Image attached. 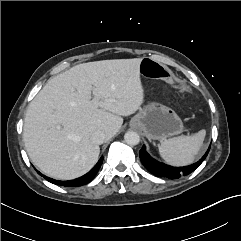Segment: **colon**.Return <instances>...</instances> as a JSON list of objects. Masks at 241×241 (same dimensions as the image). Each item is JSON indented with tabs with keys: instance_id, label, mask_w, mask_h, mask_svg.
<instances>
[{
	"instance_id": "obj_1",
	"label": "colon",
	"mask_w": 241,
	"mask_h": 241,
	"mask_svg": "<svg viewBox=\"0 0 241 241\" xmlns=\"http://www.w3.org/2000/svg\"><path fill=\"white\" fill-rule=\"evenodd\" d=\"M136 72L148 80L170 81L172 70L164 62H155L151 57H140L136 61Z\"/></svg>"
}]
</instances>
